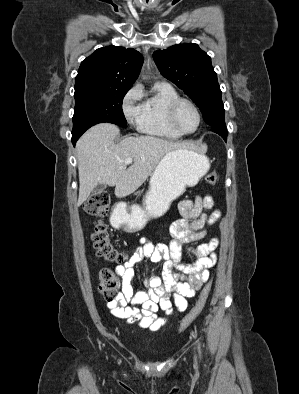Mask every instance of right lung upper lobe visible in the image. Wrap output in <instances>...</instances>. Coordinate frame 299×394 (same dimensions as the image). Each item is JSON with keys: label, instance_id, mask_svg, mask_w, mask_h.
Listing matches in <instances>:
<instances>
[{"label": "right lung upper lobe", "instance_id": "right-lung-upper-lobe-1", "mask_svg": "<svg viewBox=\"0 0 299 394\" xmlns=\"http://www.w3.org/2000/svg\"><path fill=\"white\" fill-rule=\"evenodd\" d=\"M143 64V56L132 48L107 46L82 61L75 88L130 89Z\"/></svg>", "mask_w": 299, "mask_h": 394}]
</instances>
